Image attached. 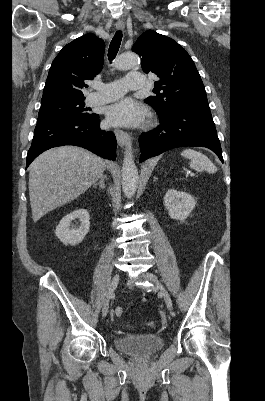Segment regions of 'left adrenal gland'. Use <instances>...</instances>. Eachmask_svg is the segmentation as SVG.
<instances>
[{
	"instance_id": "left-adrenal-gland-1",
	"label": "left adrenal gland",
	"mask_w": 265,
	"mask_h": 401,
	"mask_svg": "<svg viewBox=\"0 0 265 401\" xmlns=\"http://www.w3.org/2000/svg\"><path fill=\"white\" fill-rule=\"evenodd\" d=\"M156 178H157V176H154V182H155Z\"/></svg>"
}]
</instances>
